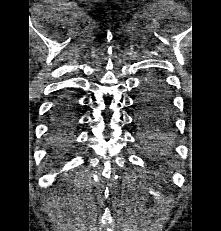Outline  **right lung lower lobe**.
<instances>
[{"label": "right lung lower lobe", "instance_id": "obj_1", "mask_svg": "<svg viewBox=\"0 0 221 231\" xmlns=\"http://www.w3.org/2000/svg\"><path fill=\"white\" fill-rule=\"evenodd\" d=\"M60 102H61V103H70V104H73V105H74L72 98H70L69 96L63 97L62 100H61Z\"/></svg>", "mask_w": 221, "mask_h": 231}]
</instances>
